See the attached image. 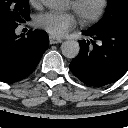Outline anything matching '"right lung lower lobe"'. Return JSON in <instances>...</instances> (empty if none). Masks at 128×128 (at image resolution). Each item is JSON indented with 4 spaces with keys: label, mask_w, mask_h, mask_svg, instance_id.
Instances as JSON below:
<instances>
[{
    "label": "right lung lower lobe",
    "mask_w": 128,
    "mask_h": 128,
    "mask_svg": "<svg viewBox=\"0 0 128 128\" xmlns=\"http://www.w3.org/2000/svg\"><path fill=\"white\" fill-rule=\"evenodd\" d=\"M16 27H0V81L12 83L30 75L48 47L49 38L41 30L28 36L15 34Z\"/></svg>",
    "instance_id": "1"
}]
</instances>
